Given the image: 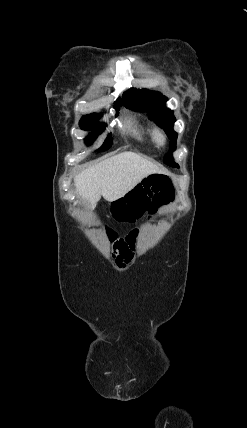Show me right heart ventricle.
Listing matches in <instances>:
<instances>
[{"label":"right heart ventricle","instance_id":"e07e8e85","mask_svg":"<svg viewBox=\"0 0 247 428\" xmlns=\"http://www.w3.org/2000/svg\"><path fill=\"white\" fill-rule=\"evenodd\" d=\"M130 130L132 135L140 142L152 140L151 132L136 121H130Z\"/></svg>","mask_w":247,"mask_h":428}]
</instances>
